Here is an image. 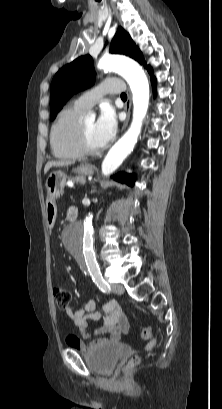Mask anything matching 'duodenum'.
Instances as JSON below:
<instances>
[{
	"instance_id": "obj_1",
	"label": "duodenum",
	"mask_w": 222,
	"mask_h": 409,
	"mask_svg": "<svg viewBox=\"0 0 222 409\" xmlns=\"http://www.w3.org/2000/svg\"><path fill=\"white\" fill-rule=\"evenodd\" d=\"M78 217V210L74 208L68 215V220L69 221H75Z\"/></svg>"
}]
</instances>
